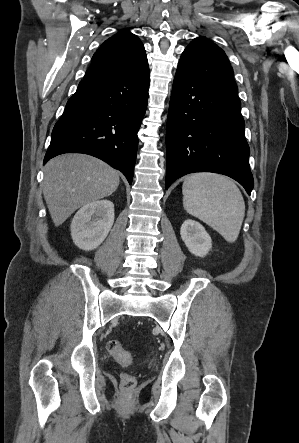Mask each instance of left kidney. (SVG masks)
Listing matches in <instances>:
<instances>
[{
	"label": "left kidney",
	"mask_w": 299,
	"mask_h": 443,
	"mask_svg": "<svg viewBox=\"0 0 299 443\" xmlns=\"http://www.w3.org/2000/svg\"><path fill=\"white\" fill-rule=\"evenodd\" d=\"M180 235L188 250L195 256L204 257L212 248V240L205 228L195 220H185Z\"/></svg>",
	"instance_id": "5707ae66"
}]
</instances>
